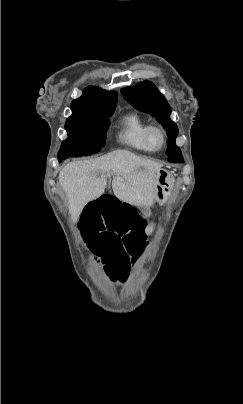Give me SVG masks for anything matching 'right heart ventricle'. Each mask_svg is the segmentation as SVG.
Wrapping results in <instances>:
<instances>
[{"mask_svg": "<svg viewBox=\"0 0 243 404\" xmlns=\"http://www.w3.org/2000/svg\"><path fill=\"white\" fill-rule=\"evenodd\" d=\"M148 123L145 119L134 112L125 114L120 119L119 130L116 135L118 143L124 148L137 152L152 154L160 148L151 145L145 137V129Z\"/></svg>", "mask_w": 243, "mask_h": 404, "instance_id": "right-heart-ventricle-1", "label": "right heart ventricle"}]
</instances>
